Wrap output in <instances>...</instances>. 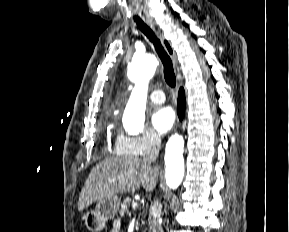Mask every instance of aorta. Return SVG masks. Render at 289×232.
Wrapping results in <instances>:
<instances>
[{"instance_id": "aorta-1", "label": "aorta", "mask_w": 289, "mask_h": 232, "mask_svg": "<svg viewBox=\"0 0 289 232\" xmlns=\"http://www.w3.org/2000/svg\"><path fill=\"white\" fill-rule=\"evenodd\" d=\"M158 65L151 54L136 55L129 64V78L135 83L124 111L123 124L126 131L139 134L144 129L148 84ZM183 137H170L165 149V179L170 189H177L184 176Z\"/></svg>"}]
</instances>
